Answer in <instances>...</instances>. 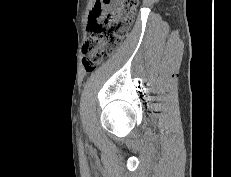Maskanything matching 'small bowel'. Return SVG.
<instances>
[{
  "mask_svg": "<svg viewBox=\"0 0 231 177\" xmlns=\"http://www.w3.org/2000/svg\"><path fill=\"white\" fill-rule=\"evenodd\" d=\"M96 5V4H95ZM111 4H103L101 5V15L104 13V11L109 7ZM100 15V17H101ZM91 16V15H90Z\"/></svg>",
  "mask_w": 231,
  "mask_h": 177,
  "instance_id": "1",
  "label": "small bowel"
}]
</instances>
